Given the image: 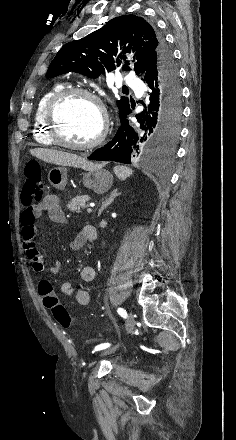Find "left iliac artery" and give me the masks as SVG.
I'll return each mask as SVG.
<instances>
[{"mask_svg":"<svg viewBox=\"0 0 236 440\" xmlns=\"http://www.w3.org/2000/svg\"><path fill=\"white\" fill-rule=\"evenodd\" d=\"M117 312H118L119 315L122 316L123 318H126V317H127V312H126L125 309H123V308H118ZM109 346H110L109 343H103V344H100V345L96 346L94 350H95V351L103 350V349L108 348Z\"/></svg>","mask_w":236,"mask_h":440,"instance_id":"1","label":"left iliac artery"}]
</instances>
